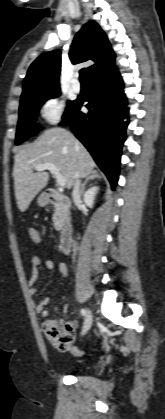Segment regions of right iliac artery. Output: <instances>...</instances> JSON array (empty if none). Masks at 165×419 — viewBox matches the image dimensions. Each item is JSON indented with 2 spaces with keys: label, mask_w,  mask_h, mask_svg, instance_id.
<instances>
[{
  "label": "right iliac artery",
  "mask_w": 165,
  "mask_h": 419,
  "mask_svg": "<svg viewBox=\"0 0 165 419\" xmlns=\"http://www.w3.org/2000/svg\"><path fill=\"white\" fill-rule=\"evenodd\" d=\"M81 315L84 317L86 315V310L85 309H81Z\"/></svg>",
  "instance_id": "1"
}]
</instances>
